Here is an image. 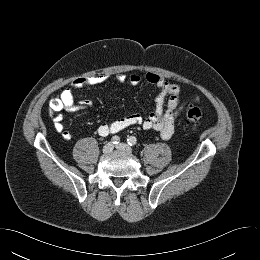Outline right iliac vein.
Listing matches in <instances>:
<instances>
[{
    "instance_id": "63e3f726",
    "label": "right iliac vein",
    "mask_w": 260,
    "mask_h": 260,
    "mask_svg": "<svg viewBox=\"0 0 260 260\" xmlns=\"http://www.w3.org/2000/svg\"><path fill=\"white\" fill-rule=\"evenodd\" d=\"M113 148H114L113 143L109 142V143L104 145L103 152L104 153H110V152H112Z\"/></svg>"
}]
</instances>
